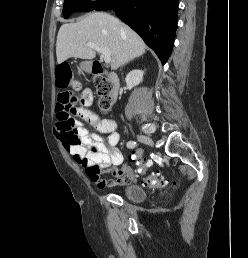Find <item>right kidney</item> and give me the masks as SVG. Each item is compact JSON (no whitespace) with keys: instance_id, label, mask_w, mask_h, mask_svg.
I'll return each instance as SVG.
<instances>
[{"instance_id":"obj_1","label":"right kidney","mask_w":248,"mask_h":258,"mask_svg":"<svg viewBox=\"0 0 248 258\" xmlns=\"http://www.w3.org/2000/svg\"><path fill=\"white\" fill-rule=\"evenodd\" d=\"M143 74L142 70H133L127 74L125 82L129 90L142 82Z\"/></svg>"}]
</instances>
